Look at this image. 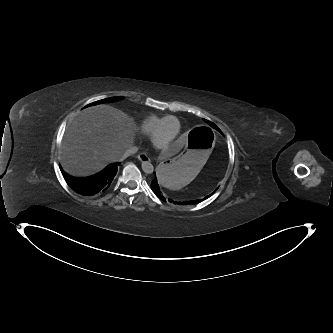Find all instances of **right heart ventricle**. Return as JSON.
I'll list each match as a JSON object with an SVG mask.
<instances>
[{
    "label": "right heart ventricle",
    "mask_w": 333,
    "mask_h": 333,
    "mask_svg": "<svg viewBox=\"0 0 333 333\" xmlns=\"http://www.w3.org/2000/svg\"><path fill=\"white\" fill-rule=\"evenodd\" d=\"M169 115L152 114L143 119L138 125V131L144 135L151 136L157 130L161 122ZM177 125L180 129V121L177 118Z\"/></svg>",
    "instance_id": "obj_1"
}]
</instances>
